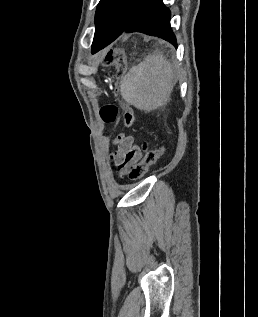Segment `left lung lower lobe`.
I'll use <instances>...</instances> for the list:
<instances>
[{
    "instance_id": "left-lung-lower-lobe-1",
    "label": "left lung lower lobe",
    "mask_w": 258,
    "mask_h": 317,
    "mask_svg": "<svg viewBox=\"0 0 258 317\" xmlns=\"http://www.w3.org/2000/svg\"><path fill=\"white\" fill-rule=\"evenodd\" d=\"M171 13L162 0H131L124 24L120 28H96L92 53L113 42L123 32H141L162 38L177 48L176 38L170 27Z\"/></svg>"
}]
</instances>
